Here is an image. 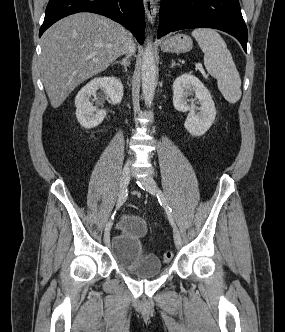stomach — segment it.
Returning a JSON list of instances; mask_svg holds the SVG:
<instances>
[{
    "label": "stomach",
    "mask_w": 285,
    "mask_h": 332,
    "mask_svg": "<svg viewBox=\"0 0 285 332\" xmlns=\"http://www.w3.org/2000/svg\"><path fill=\"white\" fill-rule=\"evenodd\" d=\"M192 47V40L186 34H177L168 37L161 44V49L164 52L186 53L190 51Z\"/></svg>",
    "instance_id": "obj_1"
}]
</instances>
